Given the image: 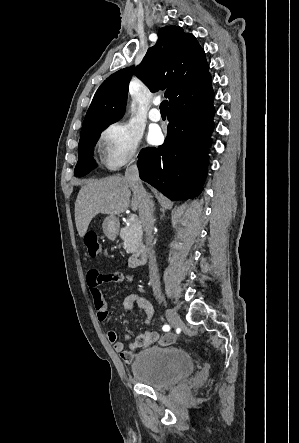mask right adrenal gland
I'll list each match as a JSON object with an SVG mask.
<instances>
[{
  "mask_svg": "<svg viewBox=\"0 0 299 443\" xmlns=\"http://www.w3.org/2000/svg\"><path fill=\"white\" fill-rule=\"evenodd\" d=\"M152 206H153V209H154V204H153V202H152Z\"/></svg>",
  "mask_w": 299,
  "mask_h": 443,
  "instance_id": "1",
  "label": "right adrenal gland"
}]
</instances>
